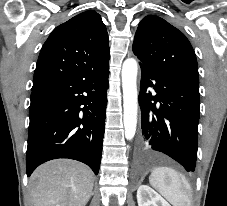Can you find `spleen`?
Segmentation results:
<instances>
[{"label":"spleen","mask_w":227,"mask_h":206,"mask_svg":"<svg viewBox=\"0 0 227 206\" xmlns=\"http://www.w3.org/2000/svg\"><path fill=\"white\" fill-rule=\"evenodd\" d=\"M149 182L173 206H190L191 186L174 169L168 167L155 168L149 177Z\"/></svg>","instance_id":"3e777b00"}]
</instances>
